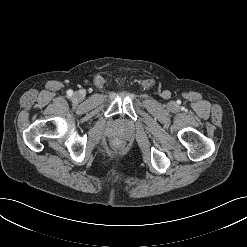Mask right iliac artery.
Listing matches in <instances>:
<instances>
[{
	"instance_id": "1",
	"label": "right iliac artery",
	"mask_w": 247,
	"mask_h": 247,
	"mask_svg": "<svg viewBox=\"0 0 247 247\" xmlns=\"http://www.w3.org/2000/svg\"><path fill=\"white\" fill-rule=\"evenodd\" d=\"M72 94H73V91L72 90H68L67 91V95L70 97V96H72Z\"/></svg>"
}]
</instances>
